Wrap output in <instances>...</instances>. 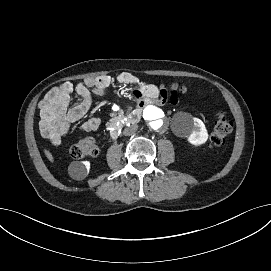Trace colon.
Returning <instances> with one entry per match:
<instances>
[{
    "instance_id": "colon-1",
    "label": "colon",
    "mask_w": 271,
    "mask_h": 271,
    "mask_svg": "<svg viewBox=\"0 0 271 271\" xmlns=\"http://www.w3.org/2000/svg\"><path fill=\"white\" fill-rule=\"evenodd\" d=\"M166 91L175 97H179L186 93V88L182 85L171 83L167 86ZM233 130V122L224 112L217 114L212 132L209 137L211 146H221L225 143L226 138ZM99 153L98 146L92 136H85L75 142L70 148V154L74 159L84 157H95Z\"/></svg>"
}]
</instances>
